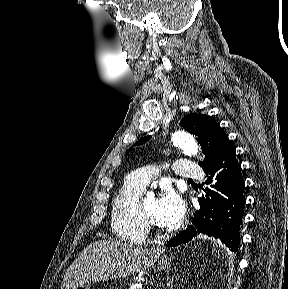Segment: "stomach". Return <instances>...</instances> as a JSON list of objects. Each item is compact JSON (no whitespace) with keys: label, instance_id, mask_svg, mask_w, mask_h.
I'll use <instances>...</instances> for the list:
<instances>
[{"label":"stomach","instance_id":"obj_1","mask_svg":"<svg viewBox=\"0 0 288 289\" xmlns=\"http://www.w3.org/2000/svg\"><path fill=\"white\" fill-rule=\"evenodd\" d=\"M174 259H175L174 256L161 258V259L158 261L159 268H160L161 270H165V269L169 268L172 260H174ZM76 289H90V285H89V284L80 285V286L76 287Z\"/></svg>","mask_w":288,"mask_h":289}]
</instances>
